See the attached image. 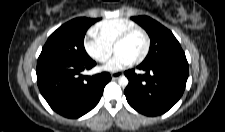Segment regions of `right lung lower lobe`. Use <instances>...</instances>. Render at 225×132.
Wrapping results in <instances>:
<instances>
[{
    "label": "right lung lower lobe",
    "instance_id": "obj_1",
    "mask_svg": "<svg viewBox=\"0 0 225 132\" xmlns=\"http://www.w3.org/2000/svg\"><path fill=\"white\" fill-rule=\"evenodd\" d=\"M95 65L92 59L73 61L39 56L37 84L42 96L54 111L67 118H78L97 105L111 76L107 72L93 76L81 74Z\"/></svg>",
    "mask_w": 225,
    "mask_h": 132
}]
</instances>
